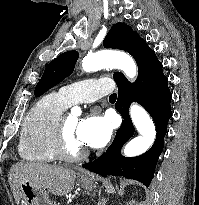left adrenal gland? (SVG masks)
Listing matches in <instances>:
<instances>
[{
	"label": "left adrenal gland",
	"mask_w": 199,
	"mask_h": 205,
	"mask_svg": "<svg viewBox=\"0 0 199 205\" xmlns=\"http://www.w3.org/2000/svg\"><path fill=\"white\" fill-rule=\"evenodd\" d=\"M106 201L103 202V205H105Z\"/></svg>",
	"instance_id": "a2214340"
}]
</instances>
